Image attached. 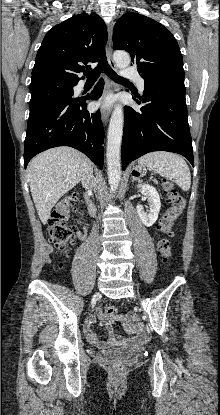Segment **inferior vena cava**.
<instances>
[{
  "mask_svg": "<svg viewBox=\"0 0 220 415\" xmlns=\"http://www.w3.org/2000/svg\"><path fill=\"white\" fill-rule=\"evenodd\" d=\"M92 179V177L90 176V175H88L87 177H85L83 180H82V183H83V185L86 187V188H89V186H88V182H89V180H91Z\"/></svg>",
  "mask_w": 220,
  "mask_h": 415,
  "instance_id": "602c4592",
  "label": "inferior vena cava"
}]
</instances>
